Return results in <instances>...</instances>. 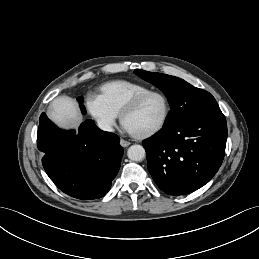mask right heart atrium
Segmentation results:
<instances>
[{
	"label": "right heart atrium",
	"instance_id": "right-heart-atrium-1",
	"mask_svg": "<svg viewBox=\"0 0 259 259\" xmlns=\"http://www.w3.org/2000/svg\"><path fill=\"white\" fill-rule=\"evenodd\" d=\"M86 106L90 115L105 129H110L115 121L116 115L106 106L98 95H91L87 99Z\"/></svg>",
	"mask_w": 259,
	"mask_h": 259
}]
</instances>
